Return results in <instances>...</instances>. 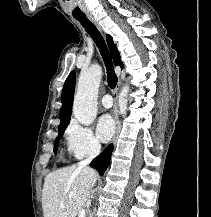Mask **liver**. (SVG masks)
<instances>
[{
  "instance_id": "obj_1",
  "label": "liver",
  "mask_w": 211,
  "mask_h": 217,
  "mask_svg": "<svg viewBox=\"0 0 211 217\" xmlns=\"http://www.w3.org/2000/svg\"><path fill=\"white\" fill-rule=\"evenodd\" d=\"M96 180V171L88 167L71 166L49 173L42 191L44 217H76L90 205V190Z\"/></svg>"
}]
</instances>
